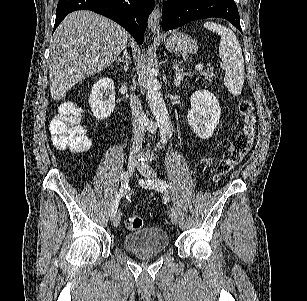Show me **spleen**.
Segmentation results:
<instances>
[{
  "mask_svg": "<svg viewBox=\"0 0 307 301\" xmlns=\"http://www.w3.org/2000/svg\"><path fill=\"white\" fill-rule=\"evenodd\" d=\"M203 26L220 34L219 56L220 66L225 70L224 84L231 94L238 96L242 92L245 78L244 58L239 40L228 26L217 22H204Z\"/></svg>",
  "mask_w": 307,
  "mask_h": 301,
  "instance_id": "obj_1",
  "label": "spleen"
}]
</instances>
